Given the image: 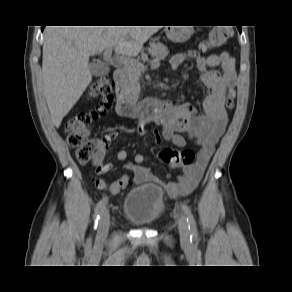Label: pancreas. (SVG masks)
Listing matches in <instances>:
<instances>
[{"instance_id": "cf45deb5", "label": "pancreas", "mask_w": 292, "mask_h": 292, "mask_svg": "<svg viewBox=\"0 0 292 292\" xmlns=\"http://www.w3.org/2000/svg\"><path fill=\"white\" fill-rule=\"evenodd\" d=\"M150 47L148 48L149 54L159 60L165 59L169 51L167 47L160 43L152 41L150 42ZM142 70L137 68V66H125L123 68V78L121 81L122 89L125 95L129 98H136L140 92L139 79L142 74Z\"/></svg>"}]
</instances>
